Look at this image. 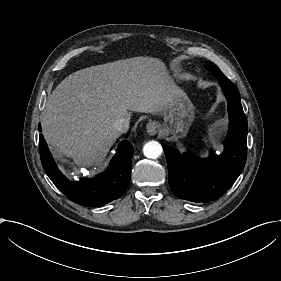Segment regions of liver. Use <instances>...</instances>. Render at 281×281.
<instances>
[{
	"label": "liver",
	"mask_w": 281,
	"mask_h": 281,
	"mask_svg": "<svg viewBox=\"0 0 281 281\" xmlns=\"http://www.w3.org/2000/svg\"><path fill=\"white\" fill-rule=\"evenodd\" d=\"M185 93L158 58L133 57L78 70L50 95L42 133L53 156L100 165L120 137L114 123L131 111L164 115ZM59 153V155L56 154Z\"/></svg>",
	"instance_id": "6515ba94"
}]
</instances>
